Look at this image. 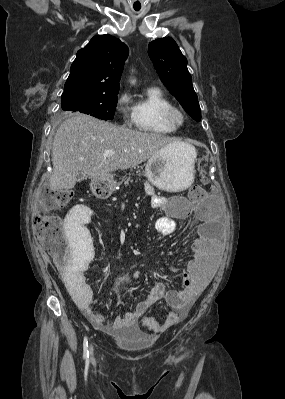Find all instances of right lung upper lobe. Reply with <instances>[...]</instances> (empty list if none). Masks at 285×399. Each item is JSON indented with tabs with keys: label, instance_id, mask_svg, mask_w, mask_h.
<instances>
[{
	"label": "right lung upper lobe",
	"instance_id": "1",
	"mask_svg": "<svg viewBox=\"0 0 285 399\" xmlns=\"http://www.w3.org/2000/svg\"><path fill=\"white\" fill-rule=\"evenodd\" d=\"M128 47L109 34L94 36L77 52L64 93L119 92V81Z\"/></svg>",
	"mask_w": 285,
	"mask_h": 399
}]
</instances>
